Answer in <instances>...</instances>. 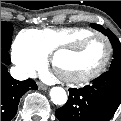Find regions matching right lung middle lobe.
Listing matches in <instances>:
<instances>
[{
  "label": "right lung middle lobe",
  "mask_w": 121,
  "mask_h": 121,
  "mask_svg": "<svg viewBox=\"0 0 121 121\" xmlns=\"http://www.w3.org/2000/svg\"><path fill=\"white\" fill-rule=\"evenodd\" d=\"M12 26L1 22V48L8 51L11 45Z\"/></svg>",
  "instance_id": "dd1d6c3e"
}]
</instances>
